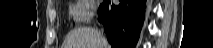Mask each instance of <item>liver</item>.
<instances>
[{"mask_svg": "<svg viewBox=\"0 0 213 48\" xmlns=\"http://www.w3.org/2000/svg\"><path fill=\"white\" fill-rule=\"evenodd\" d=\"M62 48H110V45L97 30L79 27L67 35Z\"/></svg>", "mask_w": 213, "mask_h": 48, "instance_id": "6515ba94", "label": "liver"}]
</instances>
